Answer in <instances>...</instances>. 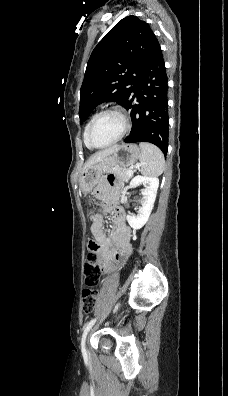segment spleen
Listing matches in <instances>:
<instances>
[{
  "instance_id": "obj_1",
  "label": "spleen",
  "mask_w": 228,
  "mask_h": 396,
  "mask_svg": "<svg viewBox=\"0 0 228 396\" xmlns=\"http://www.w3.org/2000/svg\"><path fill=\"white\" fill-rule=\"evenodd\" d=\"M139 146L141 149V174L153 177L161 175L165 165L161 150L157 146L146 142H141Z\"/></svg>"
}]
</instances>
